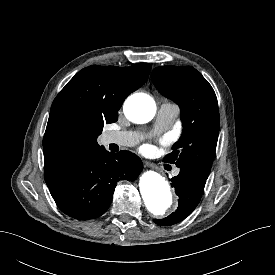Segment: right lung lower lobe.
<instances>
[{
    "mask_svg": "<svg viewBox=\"0 0 275 275\" xmlns=\"http://www.w3.org/2000/svg\"><path fill=\"white\" fill-rule=\"evenodd\" d=\"M142 167L129 151L111 153L103 148L76 162L48 187L62 212L79 220L93 219L109 208L116 183L134 181Z\"/></svg>",
    "mask_w": 275,
    "mask_h": 275,
    "instance_id": "obj_1",
    "label": "right lung lower lobe"
}]
</instances>
